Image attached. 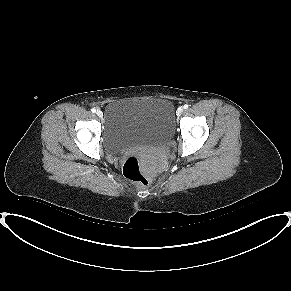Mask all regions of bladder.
<instances>
[{
    "instance_id": "1",
    "label": "bladder",
    "mask_w": 291,
    "mask_h": 291,
    "mask_svg": "<svg viewBox=\"0 0 291 291\" xmlns=\"http://www.w3.org/2000/svg\"><path fill=\"white\" fill-rule=\"evenodd\" d=\"M103 122L104 145L109 152L158 145L174 134V107L169 99L159 97L114 101L107 104Z\"/></svg>"
}]
</instances>
